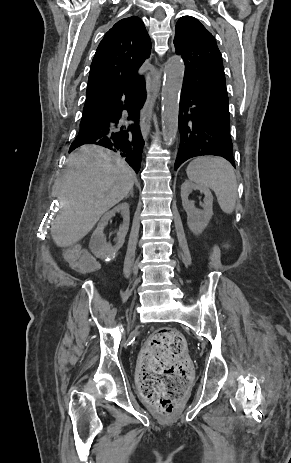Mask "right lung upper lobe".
<instances>
[{"mask_svg":"<svg viewBox=\"0 0 291 463\" xmlns=\"http://www.w3.org/2000/svg\"><path fill=\"white\" fill-rule=\"evenodd\" d=\"M151 41L139 17L117 22L100 42L93 58L82 119L91 120L122 107L145 88L138 70L150 56Z\"/></svg>","mask_w":291,"mask_h":463,"instance_id":"1","label":"right lung upper lobe"}]
</instances>
